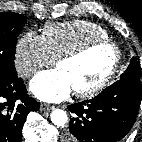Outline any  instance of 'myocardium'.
Instances as JSON below:
<instances>
[{
  "mask_svg": "<svg viewBox=\"0 0 142 142\" xmlns=\"http://www.w3.org/2000/svg\"><path fill=\"white\" fill-rule=\"evenodd\" d=\"M102 46H108L113 50L114 53V60L113 63L109 69V71L106 73V75L100 80L98 81L96 84L85 88V89H75L74 93L79 96V97H92L95 96L96 94H98L99 92H101L103 89H105L109 83L113 80V78L115 77L118 68L120 66V62H121V50L119 48V46L109 40V39H95L92 41H89L71 51H68L64 54H62L61 56H59L56 59V66L58 67L59 64H61L62 62H66V61H72V60H76L79 59L83 56H85L86 54H88L89 52H91L92 50L98 48V47H102Z\"/></svg>",
  "mask_w": 142,
  "mask_h": 142,
  "instance_id": "f54148a6",
  "label": "myocardium"
}]
</instances>
